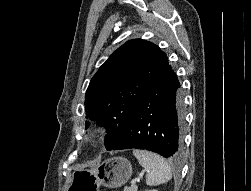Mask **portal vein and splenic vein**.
I'll return each mask as SVG.
<instances>
[{
  "mask_svg": "<svg viewBox=\"0 0 251 191\" xmlns=\"http://www.w3.org/2000/svg\"><path fill=\"white\" fill-rule=\"evenodd\" d=\"M136 181H140V179H132V181H131L132 185H135ZM136 189H137V187H136Z\"/></svg>",
  "mask_w": 251,
  "mask_h": 191,
  "instance_id": "1",
  "label": "portal vein and splenic vein"
}]
</instances>
